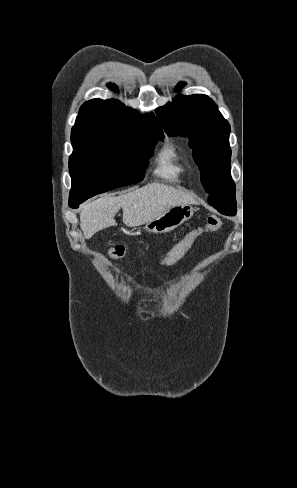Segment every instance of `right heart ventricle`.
I'll list each match as a JSON object with an SVG mask.
<instances>
[{"label": "right heart ventricle", "mask_w": 297, "mask_h": 488, "mask_svg": "<svg viewBox=\"0 0 297 488\" xmlns=\"http://www.w3.org/2000/svg\"><path fill=\"white\" fill-rule=\"evenodd\" d=\"M185 172V153L174 140L166 141L155 158L154 174L169 181H177Z\"/></svg>", "instance_id": "1"}]
</instances>
